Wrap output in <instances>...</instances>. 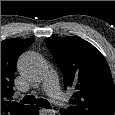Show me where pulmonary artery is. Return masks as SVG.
I'll return each mask as SVG.
<instances>
[{"mask_svg": "<svg viewBox=\"0 0 115 115\" xmlns=\"http://www.w3.org/2000/svg\"><path fill=\"white\" fill-rule=\"evenodd\" d=\"M42 88L54 102L58 104L65 103L66 98L59 89L57 76L54 71H47L44 73Z\"/></svg>", "mask_w": 115, "mask_h": 115, "instance_id": "pulmonary-artery-1", "label": "pulmonary artery"}]
</instances>
